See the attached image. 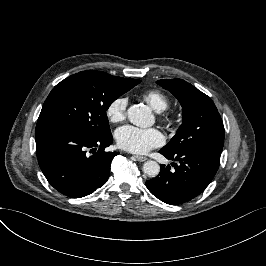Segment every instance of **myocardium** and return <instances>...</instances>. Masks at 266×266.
Masks as SVG:
<instances>
[{"label": "myocardium", "mask_w": 266, "mask_h": 266, "mask_svg": "<svg viewBox=\"0 0 266 266\" xmlns=\"http://www.w3.org/2000/svg\"><path fill=\"white\" fill-rule=\"evenodd\" d=\"M159 114H160V116H161V118L163 120H168L169 119V116H168L166 110L160 111Z\"/></svg>", "instance_id": "f54148a6"}]
</instances>
